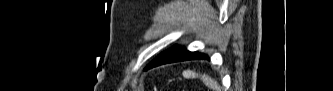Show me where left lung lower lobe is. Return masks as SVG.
I'll use <instances>...</instances> for the list:
<instances>
[{
    "mask_svg": "<svg viewBox=\"0 0 333 91\" xmlns=\"http://www.w3.org/2000/svg\"><path fill=\"white\" fill-rule=\"evenodd\" d=\"M195 59H208V56L198 52H189L186 49H181L178 46H174L160 53L151 63L148 64L145 70L159 66L161 64Z\"/></svg>",
    "mask_w": 333,
    "mask_h": 91,
    "instance_id": "left-lung-lower-lobe-1",
    "label": "left lung lower lobe"
}]
</instances>
